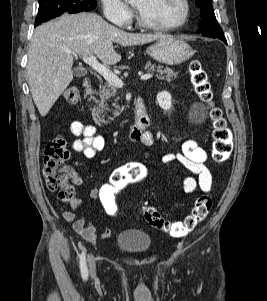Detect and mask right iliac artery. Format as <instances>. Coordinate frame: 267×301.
Listing matches in <instances>:
<instances>
[{"label": "right iliac artery", "instance_id": "right-iliac-artery-1", "mask_svg": "<svg viewBox=\"0 0 267 301\" xmlns=\"http://www.w3.org/2000/svg\"><path fill=\"white\" fill-rule=\"evenodd\" d=\"M80 271L82 279L85 281L88 278V269L86 264V255L85 251H83L80 255Z\"/></svg>", "mask_w": 267, "mask_h": 301}]
</instances>
